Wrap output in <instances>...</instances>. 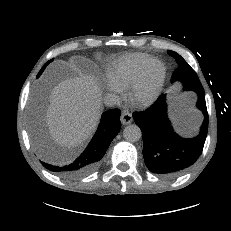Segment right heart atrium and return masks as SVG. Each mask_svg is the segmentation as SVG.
I'll return each instance as SVG.
<instances>
[{"label":"right heart atrium","instance_id":"right-heart-atrium-1","mask_svg":"<svg viewBox=\"0 0 231 231\" xmlns=\"http://www.w3.org/2000/svg\"><path fill=\"white\" fill-rule=\"evenodd\" d=\"M105 88L111 92H121L120 89L116 84H114L111 80L106 81Z\"/></svg>","mask_w":231,"mask_h":231}]
</instances>
